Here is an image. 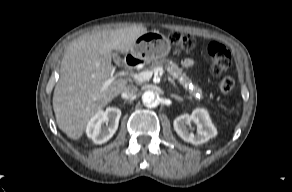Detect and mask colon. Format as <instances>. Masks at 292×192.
<instances>
[{"mask_svg":"<svg viewBox=\"0 0 292 192\" xmlns=\"http://www.w3.org/2000/svg\"><path fill=\"white\" fill-rule=\"evenodd\" d=\"M171 42L182 52H189L195 47V40L189 35L172 33ZM208 52L211 58V70L215 76L222 75L231 65V53L220 42L212 41L208 45ZM234 88V80L230 76H225L219 83L222 94H228Z\"/></svg>","mask_w":292,"mask_h":192,"instance_id":"5ec220e1","label":"colon"}]
</instances>
